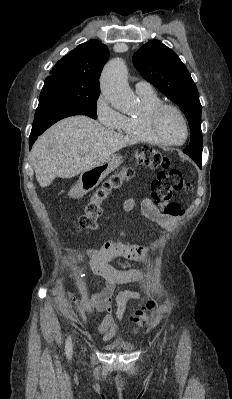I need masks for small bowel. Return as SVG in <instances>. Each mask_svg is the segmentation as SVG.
<instances>
[{"mask_svg":"<svg viewBox=\"0 0 232 399\" xmlns=\"http://www.w3.org/2000/svg\"><path fill=\"white\" fill-rule=\"evenodd\" d=\"M135 206L136 200L134 198H128L124 202L126 210H131ZM142 208L147 215L154 216L158 214V208L151 200L143 201ZM91 255L94 260V270L103 279L102 288L88 299L65 294L64 300L72 310L76 320L82 325L86 323V313L88 311L102 314L103 317L96 331L101 342H108L122 328L110 314L113 299L115 298L118 306L116 317L118 320H123L126 316L128 303L139 299L141 296V292L137 290L120 291L115 295L116 287L120 285H138L146 281V278L137 271L125 274L115 273L109 266L110 259L114 256H119L123 259H133L149 264H154L156 259L150 251L126 240L107 242L102 248L91 250Z\"/></svg>","mask_w":232,"mask_h":399,"instance_id":"c3829d8e","label":"small bowel"}]
</instances>
